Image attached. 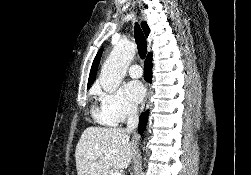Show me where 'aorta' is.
I'll return each instance as SVG.
<instances>
[{
    "label": "aorta",
    "mask_w": 251,
    "mask_h": 175,
    "mask_svg": "<svg viewBox=\"0 0 251 175\" xmlns=\"http://www.w3.org/2000/svg\"><path fill=\"white\" fill-rule=\"evenodd\" d=\"M136 44L132 42H119L114 46L109 58L104 62L99 76L101 88L113 93L119 88L120 82L125 78L128 66H130L135 54Z\"/></svg>",
    "instance_id": "aorta-1"
}]
</instances>
